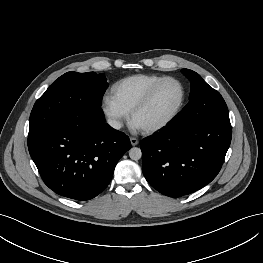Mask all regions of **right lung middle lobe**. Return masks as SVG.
I'll return each mask as SVG.
<instances>
[{
	"mask_svg": "<svg viewBox=\"0 0 263 263\" xmlns=\"http://www.w3.org/2000/svg\"><path fill=\"white\" fill-rule=\"evenodd\" d=\"M107 87L104 74L73 71L63 74L36 101L30 115L28 136L60 121L100 111Z\"/></svg>",
	"mask_w": 263,
	"mask_h": 263,
	"instance_id": "right-lung-middle-lobe-1",
	"label": "right lung middle lobe"
}]
</instances>
